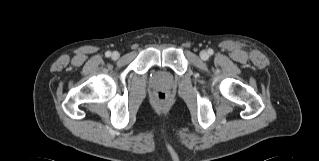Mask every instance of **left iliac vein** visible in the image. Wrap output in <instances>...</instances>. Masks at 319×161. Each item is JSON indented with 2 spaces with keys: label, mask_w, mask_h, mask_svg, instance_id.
I'll return each mask as SVG.
<instances>
[{
  "label": "left iliac vein",
  "mask_w": 319,
  "mask_h": 161,
  "mask_svg": "<svg viewBox=\"0 0 319 161\" xmlns=\"http://www.w3.org/2000/svg\"><path fill=\"white\" fill-rule=\"evenodd\" d=\"M200 56H201V58H202L203 60H206V59H208V57H209V55H208V53H207L206 51H202V52L200 53Z\"/></svg>",
  "instance_id": "1"
}]
</instances>
